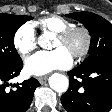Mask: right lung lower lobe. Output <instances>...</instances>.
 <instances>
[{
	"mask_svg": "<svg viewBox=\"0 0 112 112\" xmlns=\"http://www.w3.org/2000/svg\"><path fill=\"white\" fill-rule=\"evenodd\" d=\"M22 66L23 62L19 60L0 72V112H25L33 100L34 91L40 85L35 78L25 80L20 85L9 83L19 75ZM9 86L13 88H7Z\"/></svg>",
	"mask_w": 112,
	"mask_h": 112,
	"instance_id": "obj_1",
	"label": "right lung lower lobe"
}]
</instances>
